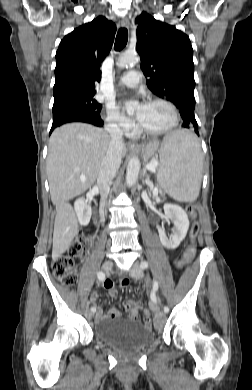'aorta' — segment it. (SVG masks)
I'll return each mask as SVG.
<instances>
[{
    "mask_svg": "<svg viewBox=\"0 0 252 390\" xmlns=\"http://www.w3.org/2000/svg\"><path fill=\"white\" fill-rule=\"evenodd\" d=\"M138 62V56L136 54H123L118 60V66L120 68L127 67L129 65L135 64ZM137 106V102L127 101L125 103V107L127 111L133 110ZM140 170V161L138 158H131L126 169V183L127 186H133L138 178Z\"/></svg>",
    "mask_w": 252,
    "mask_h": 390,
    "instance_id": "762f6f07",
    "label": "aorta"
}]
</instances>
